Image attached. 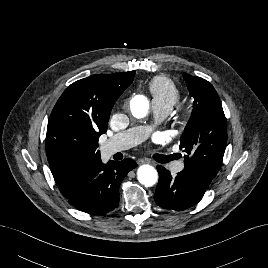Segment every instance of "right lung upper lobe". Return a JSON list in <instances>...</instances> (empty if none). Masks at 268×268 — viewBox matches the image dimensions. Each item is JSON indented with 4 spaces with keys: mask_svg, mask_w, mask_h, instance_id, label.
<instances>
[{
    "mask_svg": "<svg viewBox=\"0 0 268 268\" xmlns=\"http://www.w3.org/2000/svg\"><path fill=\"white\" fill-rule=\"evenodd\" d=\"M135 71L92 75L71 84L57 101L48 122L46 141L57 134L99 139L108 128L114 103L132 83ZM101 161L100 152L87 165L73 171L51 169L53 177L68 198L92 165Z\"/></svg>",
    "mask_w": 268,
    "mask_h": 268,
    "instance_id": "obj_1",
    "label": "right lung upper lobe"
}]
</instances>
